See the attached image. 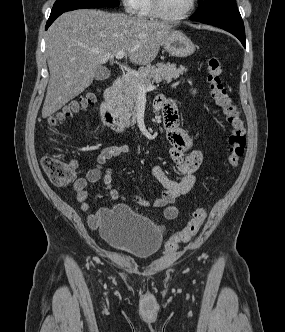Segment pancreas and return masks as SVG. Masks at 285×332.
Returning <instances> with one entry per match:
<instances>
[{"mask_svg":"<svg viewBox=\"0 0 285 332\" xmlns=\"http://www.w3.org/2000/svg\"><path fill=\"white\" fill-rule=\"evenodd\" d=\"M187 68L184 66L177 67L170 63H157L156 65L148 64L141 67L136 73L128 74L123 79L120 98L117 102L118 109L126 124L136 122L135 102L138 97L139 86H150L154 82L162 81L171 82L172 79L178 78Z\"/></svg>","mask_w":285,"mask_h":332,"instance_id":"cf45deb5","label":"pancreas"}]
</instances>
